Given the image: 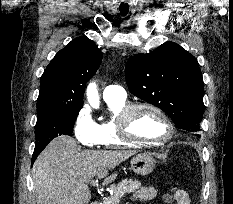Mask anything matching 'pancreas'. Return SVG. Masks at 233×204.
Listing matches in <instances>:
<instances>
[{
  "mask_svg": "<svg viewBox=\"0 0 233 204\" xmlns=\"http://www.w3.org/2000/svg\"><path fill=\"white\" fill-rule=\"evenodd\" d=\"M141 187L138 180L124 179L117 185H112L111 189L114 194L105 197L103 204H119L121 197L126 193L136 192Z\"/></svg>",
  "mask_w": 233,
  "mask_h": 204,
  "instance_id": "1",
  "label": "pancreas"
}]
</instances>
